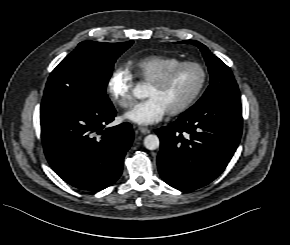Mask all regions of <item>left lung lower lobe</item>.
<instances>
[{
    "mask_svg": "<svg viewBox=\"0 0 290 245\" xmlns=\"http://www.w3.org/2000/svg\"><path fill=\"white\" fill-rule=\"evenodd\" d=\"M242 122L241 102L212 101L192 106L175 122L156 130L162 179L185 192L212 182L234 155Z\"/></svg>",
    "mask_w": 290,
    "mask_h": 245,
    "instance_id": "0a47b994",
    "label": "left lung lower lobe"
}]
</instances>
